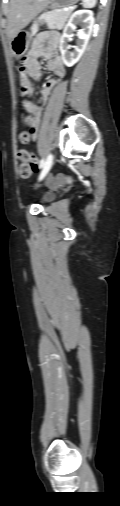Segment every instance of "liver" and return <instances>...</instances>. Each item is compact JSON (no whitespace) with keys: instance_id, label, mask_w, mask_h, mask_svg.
Wrapping results in <instances>:
<instances>
[{"instance_id":"6515ba94","label":"liver","mask_w":120,"mask_h":506,"mask_svg":"<svg viewBox=\"0 0 120 506\" xmlns=\"http://www.w3.org/2000/svg\"><path fill=\"white\" fill-rule=\"evenodd\" d=\"M50 0H10L7 36L11 40L48 5Z\"/></svg>"}]
</instances>
